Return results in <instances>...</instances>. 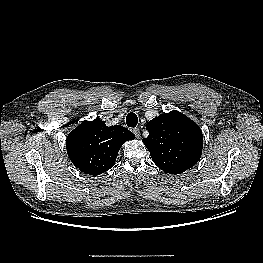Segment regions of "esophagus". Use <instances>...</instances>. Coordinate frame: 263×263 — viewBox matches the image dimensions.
Listing matches in <instances>:
<instances>
[{
	"label": "esophagus",
	"mask_w": 263,
	"mask_h": 263,
	"mask_svg": "<svg viewBox=\"0 0 263 263\" xmlns=\"http://www.w3.org/2000/svg\"><path fill=\"white\" fill-rule=\"evenodd\" d=\"M133 133L135 134L136 138H139V137H140V132H139V129H138V128H134V129H133Z\"/></svg>",
	"instance_id": "34e87169"
}]
</instances>
